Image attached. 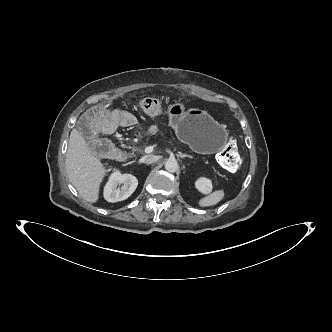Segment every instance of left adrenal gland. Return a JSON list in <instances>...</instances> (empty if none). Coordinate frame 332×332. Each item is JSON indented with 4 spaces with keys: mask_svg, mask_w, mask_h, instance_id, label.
Wrapping results in <instances>:
<instances>
[{
    "mask_svg": "<svg viewBox=\"0 0 332 332\" xmlns=\"http://www.w3.org/2000/svg\"><path fill=\"white\" fill-rule=\"evenodd\" d=\"M178 156H179L180 158H185V157L193 158L191 155H187V154H183V153H179Z\"/></svg>",
    "mask_w": 332,
    "mask_h": 332,
    "instance_id": "a2214340",
    "label": "left adrenal gland"
}]
</instances>
